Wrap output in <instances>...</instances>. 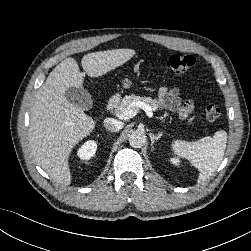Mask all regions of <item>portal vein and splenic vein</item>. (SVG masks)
<instances>
[{
  "label": "portal vein and splenic vein",
  "mask_w": 251,
  "mask_h": 251,
  "mask_svg": "<svg viewBox=\"0 0 251 251\" xmlns=\"http://www.w3.org/2000/svg\"><path fill=\"white\" fill-rule=\"evenodd\" d=\"M139 108L143 109L149 118H152L153 109L151 108V106L149 104L142 102V101H137V102H133V103L129 104V106L127 107V109L125 111H123L120 114H117V117L119 119H124V120L130 119L138 113Z\"/></svg>",
  "instance_id": "portal-vein-and-splenic-vein-1"
}]
</instances>
